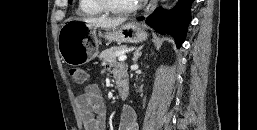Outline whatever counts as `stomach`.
<instances>
[{"label": "stomach", "mask_w": 257, "mask_h": 130, "mask_svg": "<svg viewBox=\"0 0 257 130\" xmlns=\"http://www.w3.org/2000/svg\"><path fill=\"white\" fill-rule=\"evenodd\" d=\"M109 42L139 43L147 39V32L137 22L131 21L109 30L104 35ZM58 49L68 65L90 62L98 54L96 28L81 20H68L60 28Z\"/></svg>", "instance_id": "stomach-1"}]
</instances>
